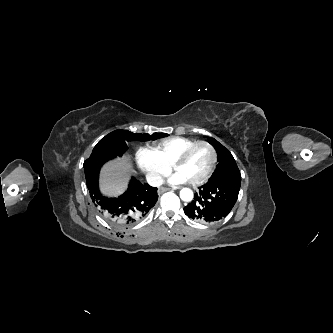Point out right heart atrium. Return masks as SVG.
<instances>
[{
	"label": "right heart atrium",
	"mask_w": 333,
	"mask_h": 333,
	"mask_svg": "<svg viewBox=\"0 0 333 333\" xmlns=\"http://www.w3.org/2000/svg\"><path fill=\"white\" fill-rule=\"evenodd\" d=\"M136 163L146 180L154 186L162 182V178L168 174L166 166L152 148L139 147L135 155Z\"/></svg>",
	"instance_id": "obj_1"
}]
</instances>
